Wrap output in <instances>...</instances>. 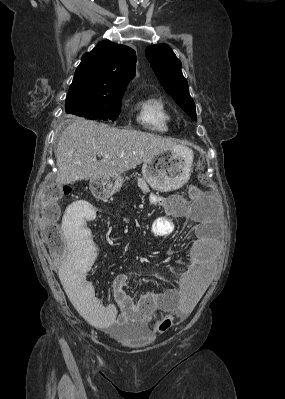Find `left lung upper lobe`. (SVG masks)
<instances>
[{
	"instance_id": "obj_1",
	"label": "left lung upper lobe",
	"mask_w": 285,
	"mask_h": 399,
	"mask_svg": "<svg viewBox=\"0 0 285 399\" xmlns=\"http://www.w3.org/2000/svg\"><path fill=\"white\" fill-rule=\"evenodd\" d=\"M146 57L161 85L176 103L196 120L194 101L189 94L187 80L181 71V62L167 44H156L146 48Z\"/></svg>"
}]
</instances>
